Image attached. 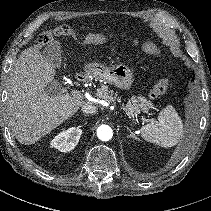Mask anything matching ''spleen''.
<instances>
[{"instance_id":"spleen-1","label":"spleen","mask_w":211,"mask_h":211,"mask_svg":"<svg viewBox=\"0 0 211 211\" xmlns=\"http://www.w3.org/2000/svg\"><path fill=\"white\" fill-rule=\"evenodd\" d=\"M183 134V123L172 105L162 109L156 124H146L141 128L144 140L161 147L175 146Z\"/></svg>"}]
</instances>
